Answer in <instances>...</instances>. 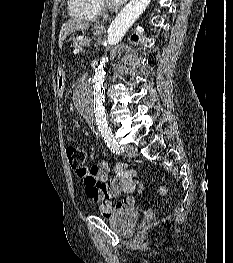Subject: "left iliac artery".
<instances>
[{
	"label": "left iliac artery",
	"instance_id": "obj_1",
	"mask_svg": "<svg viewBox=\"0 0 233 263\" xmlns=\"http://www.w3.org/2000/svg\"><path fill=\"white\" fill-rule=\"evenodd\" d=\"M101 134L105 143L112 152L116 154H121L123 152V147L116 142L110 129L102 131Z\"/></svg>",
	"mask_w": 233,
	"mask_h": 263
}]
</instances>
